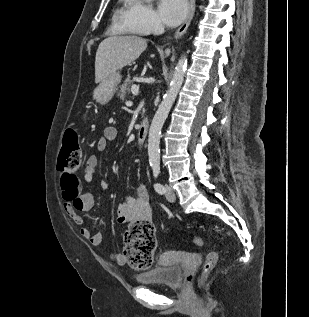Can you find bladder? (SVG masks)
I'll list each match as a JSON object with an SVG mask.
<instances>
[{"label": "bladder", "mask_w": 309, "mask_h": 317, "mask_svg": "<svg viewBox=\"0 0 309 317\" xmlns=\"http://www.w3.org/2000/svg\"><path fill=\"white\" fill-rule=\"evenodd\" d=\"M136 280L144 285L156 284L168 288H178L183 281V271L178 264L159 265L139 274Z\"/></svg>", "instance_id": "31cf9c89"}]
</instances>
